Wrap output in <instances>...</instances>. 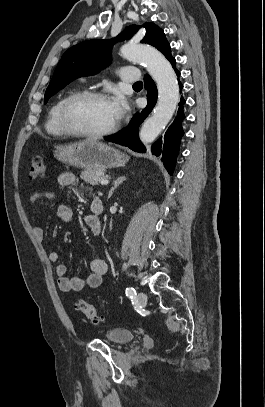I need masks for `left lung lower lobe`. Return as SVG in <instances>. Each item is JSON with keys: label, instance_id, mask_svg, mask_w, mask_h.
Here are the masks:
<instances>
[{"label": "left lung lower lobe", "instance_id": "obj_1", "mask_svg": "<svg viewBox=\"0 0 265 407\" xmlns=\"http://www.w3.org/2000/svg\"><path fill=\"white\" fill-rule=\"evenodd\" d=\"M170 63L174 68L176 75L180 76V72L176 69L175 58H171ZM179 80V79H178ZM145 88L147 90V101L148 104L146 108L139 114H135L129 125L117 134L105 137V140L118 143L123 146H127L133 151L144 153L146 148L140 142L138 137L139 125L145 120L149 115L153 107L155 106L157 100V89L150 76H145L144 78ZM180 89L183 85L179 82ZM185 100L181 97L179 102V109L174 122L169 126L165 133L164 141L160 138L152 146V153L156 156H160L166 169L170 174L173 173L176 164L177 155L180 148V140L184 132L182 129V122L185 118L183 112V105Z\"/></svg>", "mask_w": 265, "mask_h": 407}]
</instances>
